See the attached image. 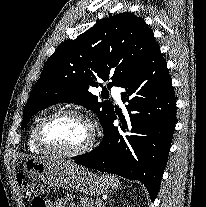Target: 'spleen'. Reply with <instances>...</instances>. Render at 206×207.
Here are the masks:
<instances>
[{"instance_id":"3e777b00","label":"spleen","mask_w":206,"mask_h":207,"mask_svg":"<svg viewBox=\"0 0 206 207\" xmlns=\"http://www.w3.org/2000/svg\"><path fill=\"white\" fill-rule=\"evenodd\" d=\"M106 177H108L112 181L114 188H117L118 187V184H119L118 178H116L114 176H106Z\"/></svg>"}]
</instances>
